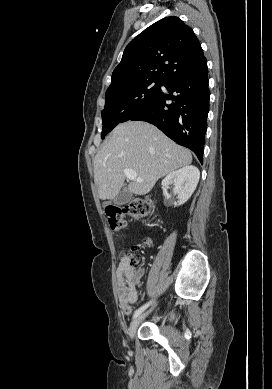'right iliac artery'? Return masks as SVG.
<instances>
[{
    "label": "right iliac artery",
    "mask_w": 272,
    "mask_h": 389,
    "mask_svg": "<svg viewBox=\"0 0 272 389\" xmlns=\"http://www.w3.org/2000/svg\"><path fill=\"white\" fill-rule=\"evenodd\" d=\"M152 301L146 303L145 305L141 306L139 309H137L135 312H134V315H133V319H135L136 317H138L150 304H151Z\"/></svg>",
    "instance_id": "1"
}]
</instances>
